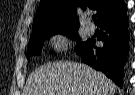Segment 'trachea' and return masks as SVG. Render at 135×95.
I'll use <instances>...</instances> for the list:
<instances>
[{
  "instance_id": "3493384b",
  "label": "trachea",
  "mask_w": 135,
  "mask_h": 95,
  "mask_svg": "<svg viewBox=\"0 0 135 95\" xmlns=\"http://www.w3.org/2000/svg\"><path fill=\"white\" fill-rule=\"evenodd\" d=\"M92 18H93V20H96V15H93V17H92Z\"/></svg>"
}]
</instances>
